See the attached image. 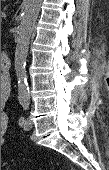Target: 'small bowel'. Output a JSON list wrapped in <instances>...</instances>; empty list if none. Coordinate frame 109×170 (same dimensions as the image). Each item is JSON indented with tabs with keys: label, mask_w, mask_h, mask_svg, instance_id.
Wrapping results in <instances>:
<instances>
[{
	"label": "small bowel",
	"mask_w": 109,
	"mask_h": 170,
	"mask_svg": "<svg viewBox=\"0 0 109 170\" xmlns=\"http://www.w3.org/2000/svg\"><path fill=\"white\" fill-rule=\"evenodd\" d=\"M7 94H3L2 98H5ZM8 117L7 114L1 113V133L4 134L7 129Z\"/></svg>",
	"instance_id": "c3829d8e"
}]
</instances>
